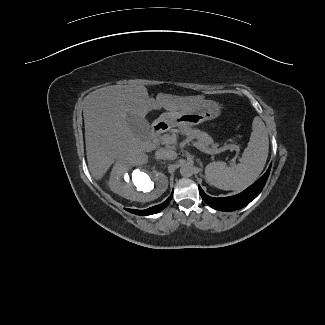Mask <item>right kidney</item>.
<instances>
[{"mask_svg": "<svg viewBox=\"0 0 325 325\" xmlns=\"http://www.w3.org/2000/svg\"><path fill=\"white\" fill-rule=\"evenodd\" d=\"M133 167L136 169L131 172ZM167 186V177L156 170H150L146 157L117 161L109 180V187L114 193L140 202L157 199L166 191Z\"/></svg>", "mask_w": 325, "mask_h": 325, "instance_id": "ca27d5eb", "label": "right kidney"}]
</instances>
